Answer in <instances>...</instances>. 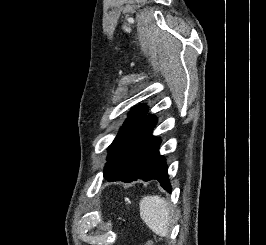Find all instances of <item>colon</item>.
Returning <instances> with one entry per match:
<instances>
[{
    "label": "colon",
    "mask_w": 266,
    "mask_h": 245,
    "mask_svg": "<svg viewBox=\"0 0 266 245\" xmlns=\"http://www.w3.org/2000/svg\"><path fill=\"white\" fill-rule=\"evenodd\" d=\"M145 245H152V242L148 241Z\"/></svg>",
    "instance_id": "1"
}]
</instances>
